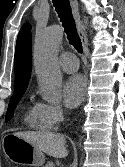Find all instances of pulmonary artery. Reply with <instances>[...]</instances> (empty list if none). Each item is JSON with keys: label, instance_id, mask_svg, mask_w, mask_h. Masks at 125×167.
Here are the masks:
<instances>
[{"label": "pulmonary artery", "instance_id": "1", "mask_svg": "<svg viewBox=\"0 0 125 167\" xmlns=\"http://www.w3.org/2000/svg\"><path fill=\"white\" fill-rule=\"evenodd\" d=\"M58 63L61 69L67 73H74L78 70V60L73 53H62L58 58Z\"/></svg>", "mask_w": 125, "mask_h": 167}]
</instances>
